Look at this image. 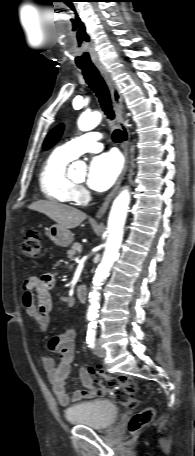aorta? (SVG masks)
Here are the masks:
<instances>
[{
	"instance_id": "obj_1",
	"label": "aorta",
	"mask_w": 195,
	"mask_h": 456,
	"mask_svg": "<svg viewBox=\"0 0 195 456\" xmlns=\"http://www.w3.org/2000/svg\"><path fill=\"white\" fill-rule=\"evenodd\" d=\"M101 118L100 112L83 114L78 119V127L81 131L92 130L100 123ZM72 167L77 169L84 168L85 164L81 161H77L73 163ZM129 203L130 194L128 189L125 188L120 192L112 204L108 218V237L105 244V251L93 278V290L89 293L90 305L88 307L87 317L90 319H94L98 316L100 308L99 289H101L104 280L108 277L114 261L118 258Z\"/></svg>"
}]
</instances>
